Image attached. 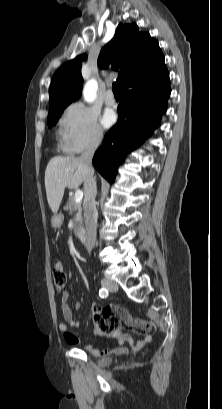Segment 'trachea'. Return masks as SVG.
Wrapping results in <instances>:
<instances>
[{
    "instance_id": "obj_1",
    "label": "trachea",
    "mask_w": 222,
    "mask_h": 409,
    "mask_svg": "<svg viewBox=\"0 0 222 409\" xmlns=\"http://www.w3.org/2000/svg\"><path fill=\"white\" fill-rule=\"evenodd\" d=\"M112 90H113L114 95H120L119 85L117 82L113 83Z\"/></svg>"
}]
</instances>
